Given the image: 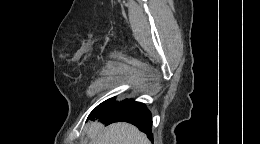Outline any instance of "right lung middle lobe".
<instances>
[{"label":"right lung middle lobe","mask_w":260,"mask_h":144,"mask_svg":"<svg viewBox=\"0 0 260 144\" xmlns=\"http://www.w3.org/2000/svg\"><path fill=\"white\" fill-rule=\"evenodd\" d=\"M110 100V99H109ZM109 100H106L104 101L103 103H101L100 105H98L91 113H93L95 110H97L99 107H101L103 104H105L107 101Z\"/></svg>","instance_id":"dd1d6c3e"}]
</instances>
